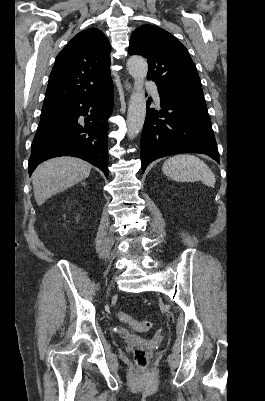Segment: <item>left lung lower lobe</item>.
<instances>
[{
    "label": "left lung lower lobe",
    "mask_w": 265,
    "mask_h": 401,
    "mask_svg": "<svg viewBox=\"0 0 265 401\" xmlns=\"http://www.w3.org/2000/svg\"><path fill=\"white\" fill-rule=\"evenodd\" d=\"M160 111L147 107L141 137L142 171L152 161L178 153H202L219 163L203 94L158 88Z\"/></svg>",
    "instance_id": "0a47b994"
}]
</instances>
